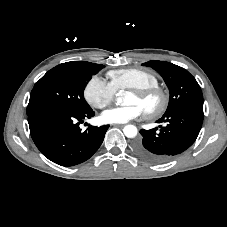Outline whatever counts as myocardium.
<instances>
[{
    "label": "myocardium",
    "instance_id": "myocardium-1",
    "mask_svg": "<svg viewBox=\"0 0 227 227\" xmlns=\"http://www.w3.org/2000/svg\"><path fill=\"white\" fill-rule=\"evenodd\" d=\"M130 92L137 98L142 100H146L149 98L157 99V104L153 109L143 112L144 116L148 119H154L161 116L168 107L169 95L166 90H164L158 85L141 89H131Z\"/></svg>",
    "mask_w": 227,
    "mask_h": 227
}]
</instances>
